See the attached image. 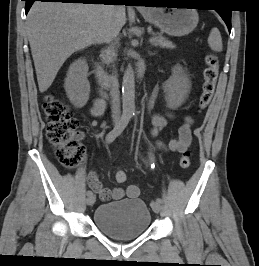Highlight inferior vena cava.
I'll return each instance as SVG.
<instances>
[{"label":"inferior vena cava","instance_id":"obj_1","mask_svg":"<svg viewBox=\"0 0 259 266\" xmlns=\"http://www.w3.org/2000/svg\"><path fill=\"white\" fill-rule=\"evenodd\" d=\"M112 7V17L111 20L106 27L105 31V41L110 44V52L112 53V56L115 55L114 49L117 43V36L120 31V25L116 19V13L120 9L121 5H111ZM111 98H112V113H113V119L114 121L120 120V99H119V83L117 79V73L114 71L111 77Z\"/></svg>","mask_w":259,"mask_h":266}]
</instances>
